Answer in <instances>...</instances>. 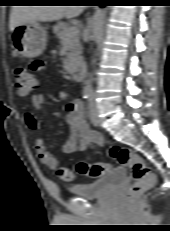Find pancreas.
Listing matches in <instances>:
<instances>
[{
  "instance_id": "1",
  "label": "pancreas",
  "mask_w": 170,
  "mask_h": 231,
  "mask_svg": "<svg viewBox=\"0 0 170 231\" xmlns=\"http://www.w3.org/2000/svg\"><path fill=\"white\" fill-rule=\"evenodd\" d=\"M70 27L72 26L65 22H58L53 26V33L60 39L61 44L67 48L66 57L63 61L64 67L67 69L75 66L81 57V46L78 35L70 36L68 39L65 38V33Z\"/></svg>"
}]
</instances>
